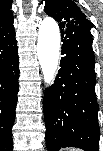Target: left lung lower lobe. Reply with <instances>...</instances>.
I'll use <instances>...</instances> for the list:
<instances>
[{
  "mask_svg": "<svg viewBox=\"0 0 103 151\" xmlns=\"http://www.w3.org/2000/svg\"><path fill=\"white\" fill-rule=\"evenodd\" d=\"M62 51L55 83L45 91L44 116L48 151L78 147L98 151L100 130L95 93V59L90 29L61 30Z\"/></svg>",
  "mask_w": 103,
  "mask_h": 151,
  "instance_id": "0a47b994",
  "label": "left lung lower lobe"
}]
</instances>
